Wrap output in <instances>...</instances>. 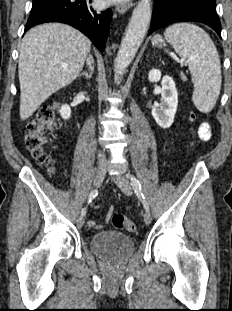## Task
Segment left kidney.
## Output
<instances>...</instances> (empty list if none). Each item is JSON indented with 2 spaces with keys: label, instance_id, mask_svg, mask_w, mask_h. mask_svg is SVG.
I'll use <instances>...</instances> for the list:
<instances>
[{
  "label": "left kidney",
  "instance_id": "left-kidney-1",
  "mask_svg": "<svg viewBox=\"0 0 232 311\" xmlns=\"http://www.w3.org/2000/svg\"><path fill=\"white\" fill-rule=\"evenodd\" d=\"M150 82L161 80V103L152 108V116L156 123L163 129L169 128L173 121L178 106V92L174 80L166 75L161 79V71L152 69L148 74Z\"/></svg>",
  "mask_w": 232,
  "mask_h": 311
}]
</instances>
